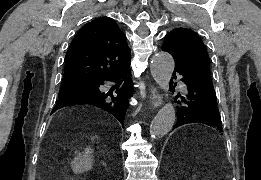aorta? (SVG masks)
<instances>
[{"mask_svg":"<svg viewBox=\"0 0 261 180\" xmlns=\"http://www.w3.org/2000/svg\"><path fill=\"white\" fill-rule=\"evenodd\" d=\"M175 62L167 52H159L151 62V74L158 86L164 90L169 89V83L174 71ZM175 108L172 103H166L156 114L150 125L152 138H161L173 127L175 122Z\"/></svg>","mask_w":261,"mask_h":180,"instance_id":"aorta-1","label":"aorta"}]
</instances>
